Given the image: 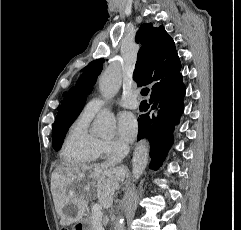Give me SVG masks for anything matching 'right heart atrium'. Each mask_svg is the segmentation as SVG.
Returning a JSON list of instances; mask_svg holds the SVG:
<instances>
[{
  "label": "right heart atrium",
  "instance_id": "d8ad5b80",
  "mask_svg": "<svg viewBox=\"0 0 241 230\" xmlns=\"http://www.w3.org/2000/svg\"><path fill=\"white\" fill-rule=\"evenodd\" d=\"M126 150L125 144L121 141L113 139V140H104L101 141V152L102 154L108 156H115L123 153Z\"/></svg>",
  "mask_w": 241,
  "mask_h": 230
}]
</instances>
